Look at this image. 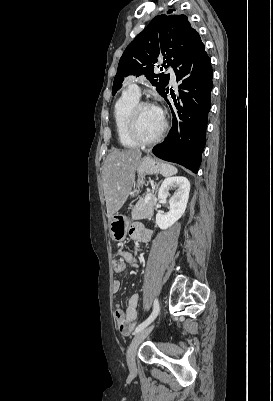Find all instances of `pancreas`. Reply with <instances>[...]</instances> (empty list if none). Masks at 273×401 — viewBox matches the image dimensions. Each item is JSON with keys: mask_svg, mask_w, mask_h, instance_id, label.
<instances>
[{"mask_svg": "<svg viewBox=\"0 0 273 401\" xmlns=\"http://www.w3.org/2000/svg\"><path fill=\"white\" fill-rule=\"evenodd\" d=\"M151 200L146 202L145 198H139L138 203L132 209L131 219L139 221V219H150L154 215L155 194H150Z\"/></svg>", "mask_w": 273, "mask_h": 401, "instance_id": "1", "label": "pancreas"}]
</instances>
